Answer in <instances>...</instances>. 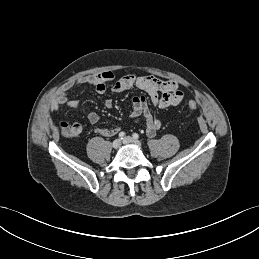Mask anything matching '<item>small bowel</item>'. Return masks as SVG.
Returning <instances> with one entry per match:
<instances>
[{"label":"small bowel","mask_w":259,"mask_h":259,"mask_svg":"<svg viewBox=\"0 0 259 259\" xmlns=\"http://www.w3.org/2000/svg\"><path fill=\"white\" fill-rule=\"evenodd\" d=\"M112 83L111 92L114 94L126 91L133 87L146 92L152 103L161 111L175 107L181 103L184 94L180 90L178 84L172 80H162L155 76H137L133 73H128L119 79L115 80V75L111 71H103L93 75H87L78 78H71L66 81L59 89L54 102L50 105V111H58L64 107L77 109L80 106L79 101L69 100L68 93L72 90L81 88L84 85L92 86L100 94H103L107 89V84ZM113 102L111 99L105 101V106L111 108ZM131 118L142 116L145 121L146 134L149 137H154L162 126L163 114L154 115L148 105L145 96H136L132 101ZM87 119L91 124H96L100 117L95 111H90ZM79 126V132L82 128ZM120 127H102L97 128V132L104 137H111L120 132Z\"/></svg>","instance_id":"small-bowel-1"}]
</instances>
